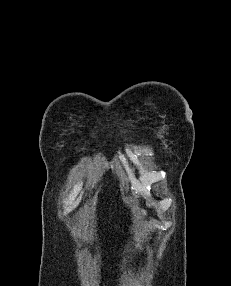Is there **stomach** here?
I'll return each instance as SVG.
<instances>
[{
  "mask_svg": "<svg viewBox=\"0 0 231 286\" xmlns=\"http://www.w3.org/2000/svg\"><path fill=\"white\" fill-rule=\"evenodd\" d=\"M146 217L147 211L144 209H141L136 213L132 228L135 234H137L141 230L142 226L145 224Z\"/></svg>",
  "mask_w": 231,
  "mask_h": 286,
  "instance_id": "stomach-1",
  "label": "stomach"
}]
</instances>
